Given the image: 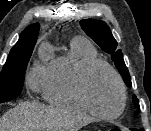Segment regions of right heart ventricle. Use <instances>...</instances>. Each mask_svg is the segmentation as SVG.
<instances>
[{"label":"right heart ventricle","instance_id":"1","mask_svg":"<svg viewBox=\"0 0 151 131\" xmlns=\"http://www.w3.org/2000/svg\"><path fill=\"white\" fill-rule=\"evenodd\" d=\"M95 59H99L98 52L89 41L73 39L69 50L47 65L42 85L44 99L54 105L81 107L72 91L73 81L83 67Z\"/></svg>","mask_w":151,"mask_h":131}]
</instances>
